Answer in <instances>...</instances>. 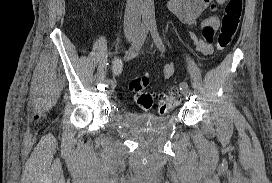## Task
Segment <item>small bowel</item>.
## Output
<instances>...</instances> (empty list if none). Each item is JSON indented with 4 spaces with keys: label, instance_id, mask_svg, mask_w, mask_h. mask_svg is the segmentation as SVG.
Masks as SVG:
<instances>
[{
    "label": "small bowel",
    "instance_id": "c3829d8e",
    "mask_svg": "<svg viewBox=\"0 0 272 183\" xmlns=\"http://www.w3.org/2000/svg\"><path fill=\"white\" fill-rule=\"evenodd\" d=\"M227 0H169L170 10L190 28V34L194 49L202 55H210L213 53V45L210 39L217 35L216 30L220 25V20L216 14L218 7L224 5ZM207 10L210 15L201 23L200 35H197V20ZM122 70L121 64L115 62L113 64V72L119 74ZM175 74V66L173 64H165L162 68V75L165 79H169Z\"/></svg>",
    "mask_w": 272,
    "mask_h": 183
}]
</instances>
